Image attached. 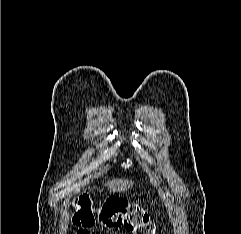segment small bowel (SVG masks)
I'll use <instances>...</instances> for the list:
<instances>
[{
    "label": "small bowel",
    "mask_w": 241,
    "mask_h": 234,
    "mask_svg": "<svg viewBox=\"0 0 241 234\" xmlns=\"http://www.w3.org/2000/svg\"><path fill=\"white\" fill-rule=\"evenodd\" d=\"M79 234H98V233H91L90 231L83 229L79 232Z\"/></svg>",
    "instance_id": "1"
}]
</instances>
